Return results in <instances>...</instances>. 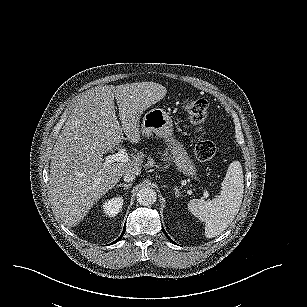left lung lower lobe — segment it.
I'll use <instances>...</instances> for the list:
<instances>
[{
	"instance_id": "0a47b994",
	"label": "left lung lower lobe",
	"mask_w": 307,
	"mask_h": 307,
	"mask_svg": "<svg viewBox=\"0 0 307 307\" xmlns=\"http://www.w3.org/2000/svg\"><path fill=\"white\" fill-rule=\"evenodd\" d=\"M163 232H164V234L167 236V238H168L172 243H174V242L171 240V238L167 235V233L165 232L164 228H163Z\"/></svg>"
}]
</instances>
